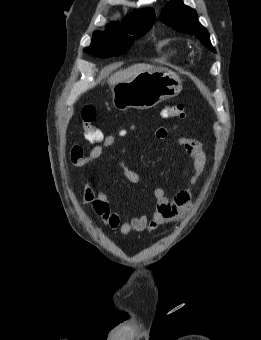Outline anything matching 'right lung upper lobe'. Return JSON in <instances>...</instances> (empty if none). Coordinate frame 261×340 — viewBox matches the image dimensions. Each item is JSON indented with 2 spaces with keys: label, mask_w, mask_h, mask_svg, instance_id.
<instances>
[{
  "label": "right lung upper lobe",
  "mask_w": 261,
  "mask_h": 340,
  "mask_svg": "<svg viewBox=\"0 0 261 340\" xmlns=\"http://www.w3.org/2000/svg\"><path fill=\"white\" fill-rule=\"evenodd\" d=\"M155 20V12L152 8L145 9L140 13H134L128 16L123 23H144L153 22Z\"/></svg>",
  "instance_id": "right-lung-upper-lobe-1"
}]
</instances>
